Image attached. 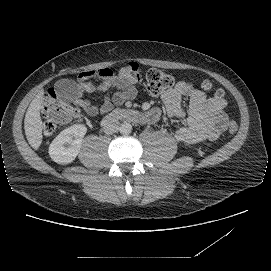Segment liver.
<instances>
[{
  "mask_svg": "<svg viewBox=\"0 0 271 271\" xmlns=\"http://www.w3.org/2000/svg\"><path fill=\"white\" fill-rule=\"evenodd\" d=\"M44 91L40 92L31 101L24 119L25 135L30 146L37 150L43 139L42 131L44 129L43 122L40 116V110L42 108Z\"/></svg>",
  "mask_w": 271,
  "mask_h": 271,
  "instance_id": "liver-1",
  "label": "liver"
}]
</instances>
